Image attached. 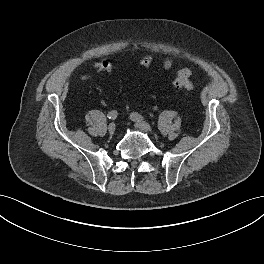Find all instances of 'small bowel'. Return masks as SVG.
<instances>
[{
    "mask_svg": "<svg viewBox=\"0 0 264 264\" xmlns=\"http://www.w3.org/2000/svg\"><path fill=\"white\" fill-rule=\"evenodd\" d=\"M172 66H173V62H172V60L167 59V60L164 62V68H165V69H170ZM87 78H88V76H86V75L82 76V79H87Z\"/></svg>",
    "mask_w": 264,
    "mask_h": 264,
    "instance_id": "small-bowel-1",
    "label": "small bowel"
}]
</instances>
